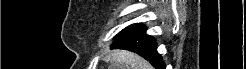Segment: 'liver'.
I'll list each match as a JSON object with an SVG mask.
<instances>
[{"label": "liver", "instance_id": "liver-1", "mask_svg": "<svg viewBox=\"0 0 246 69\" xmlns=\"http://www.w3.org/2000/svg\"><path fill=\"white\" fill-rule=\"evenodd\" d=\"M108 58L115 69H153L149 62L130 51L114 50Z\"/></svg>", "mask_w": 246, "mask_h": 69}]
</instances>
